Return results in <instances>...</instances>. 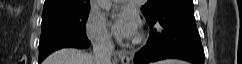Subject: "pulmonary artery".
<instances>
[{
	"label": "pulmonary artery",
	"instance_id": "e3ab8cb5",
	"mask_svg": "<svg viewBox=\"0 0 242 64\" xmlns=\"http://www.w3.org/2000/svg\"><path fill=\"white\" fill-rule=\"evenodd\" d=\"M115 3H122L125 2L126 0H113Z\"/></svg>",
	"mask_w": 242,
	"mask_h": 64
}]
</instances>
